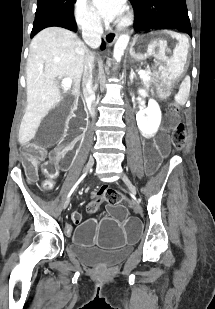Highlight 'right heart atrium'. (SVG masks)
Here are the masks:
<instances>
[{"instance_id":"right-heart-atrium-1","label":"right heart atrium","mask_w":215,"mask_h":309,"mask_svg":"<svg viewBox=\"0 0 215 309\" xmlns=\"http://www.w3.org/2000/svg\"><path fill=\"white\" fill-rule=\"evenodd\" d=\"M87 0H80L76 11V20L78 27L84 33L95 32L100 29V24L93 11L87 7Z\"/></svg>"}]
</instances>
